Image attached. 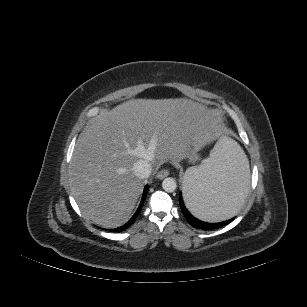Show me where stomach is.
I'll list each match as a JSON object with an SVG mask.
<instances>
[{
	"label": "stomach",
	"instance_id": "0dacf381",
	"mask_svg": "<svg viewBox=\"0 0 307 307\" xmlns=\"http://www.w3.org/2000/svg\"><path fill=\"white\" fill-rule=\"evenodd\" d=\"M189 159L190 161H196L198 159V154L196 153V151H193L189 154Z\"/></svg>",
	"mask_w": 307,
	"mask_h": 307
}]
</instances>
